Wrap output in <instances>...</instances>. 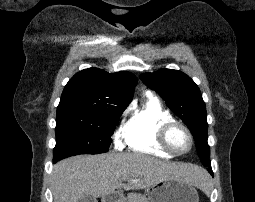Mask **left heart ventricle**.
Returning <instances> with one entry per match:
<instances>
[{
    "label": "left heart ventricle",
    "instance_id": "b2bd125f",
    "mask_svg": "<svg viewBox=\"0 0 255 202\" xmlns=\"http://www.w3.org/2000/svg\"><path fill=\"white\" fill-rule=\"evenodd\" d=\"M171 146L179 152L186 151L189 148V138L181 128H174L169 135Z\"/></svg>",
    "mask_w": 255,
    "mask_h": 202
}]
</instances>
